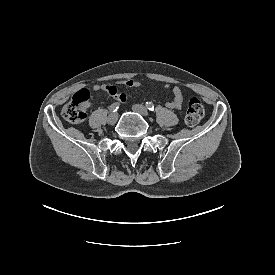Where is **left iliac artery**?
Instances as JSON below:
<instances>
[{"mask_svg": "<svg viewBox=\"0 0 275 275\" xmlns=\"http://www.w3.org/2000/svg\"><path fill=\"white\" fill-rule=\"evenodd\" d=\"M145 105L150 111H154V104L152 102H146Z\"/></svg>", "mask_w": 275, "mask_h": 275, "instance_id": "44dca946", "label": "left iliac artery"}]
</instances>
